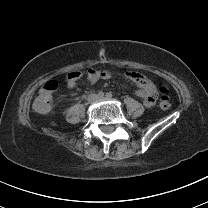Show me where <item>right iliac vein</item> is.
<instances>
[{
    "label": "right iliac vein",
    "instance_id": "obj_1",
    "mask_svg": "<svg viewBox=\"0 0 208 208\" xmlns=\"http://www.w3.org/2000/svg\"><path fill=\"white\" fill-rule=\"evenodd\" d=\"M97 99H98V97L95 94H90L87 98L89 103L95 102Z\"/></svg>",
    "mask_w": 208,
    "mask_h": 208
}]
</instances>
